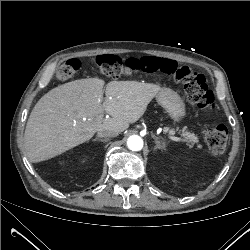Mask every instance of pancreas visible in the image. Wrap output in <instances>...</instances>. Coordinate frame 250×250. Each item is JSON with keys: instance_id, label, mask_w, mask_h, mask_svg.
I'll return each instance as SVG.
<instances>
[{"instance_id": "1", "label": "pancreas", "mask_w": 250, "mask_h": 250, "mask_svg": "<svg viewBox=\"0 0 250 250\" xmlns=\"http://www.w3.org/2000/svg\"><path fill=\"white\" fill-rule=\"evenodd\" d=\"M168 130V128H167ZM170 132H174L173 130H170ZM183 136H185L188 140L194 142V143H198L199 140L197 138V136H195V134L193 133H189V132H184ZM198 147H201V145H198Z\"/></svg>"}]
</instances>
